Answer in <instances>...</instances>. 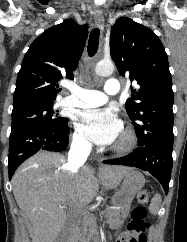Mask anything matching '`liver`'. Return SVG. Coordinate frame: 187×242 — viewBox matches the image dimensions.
Here are the masks:
<instances>
[{
    "label": "liver",
    "instance_id": "obj_1",
    "mask_svg": "<svg viewBox=\"0 0 187 242\" xmlns=\"http://www.w3.org/2000/svg\"><path fill=\"white\" fill-rule=\"evenodd\" d=\"M128 168L101 166L97 179L89 167L71 173L66 158L57 153L40 151L26 160L14 174L12 186L17 205L31 222L32 242H54L68 217L60 203L88 205L99 183L106 189L117 188Z\"/></svg>",
    "mask_w": 187,
    "mask_h": 242
}]
</instances>
